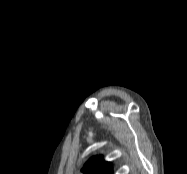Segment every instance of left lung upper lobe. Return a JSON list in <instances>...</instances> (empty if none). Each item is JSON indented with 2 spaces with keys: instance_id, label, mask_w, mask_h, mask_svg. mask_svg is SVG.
<instances>
[{
  "instance_id": "1",
  "label": "left lung upper lobe",
  "mask_w": 187,
  "mask_h": 174,
  "mask_svg": "<svg viewBox=\"0 0 187 174\" xmlns=\"http://www.w3.org/2000/svg\"><path fill=\"white\" fill-rule=\"evenodd\" d=\"M84 174H112V166L105 162L102 157H92L82 169Z\"/></svg>"
}]
</instances>
